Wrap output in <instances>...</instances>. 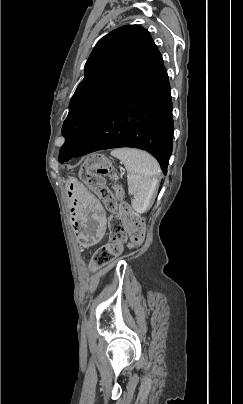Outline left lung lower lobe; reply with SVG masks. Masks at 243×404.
<instances>
[{"label": "left lung lower lobe", "instance_id": "0a47b994", "mask_svg": "<svg viewBox=\"0 0 243 404\" xmlns=\"http://www.w3.org/2000/svg\"><path fill=\"white\" fill-rule=\"evenodd\" d=\"M172 109L168 75L162 66L100 117L72 157L133 147L152 154L166 174L172 153Z\"/></svg>", "mask_w": 243, "mask_h": 404}]
</instances>
